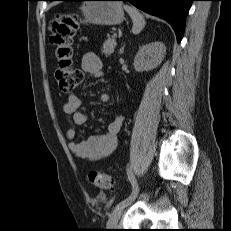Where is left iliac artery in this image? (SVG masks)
<instances>
[{"label":"left iliac artery","mask_w":231,"mask_h":231,"mask_svg":"<svg viewBox=\"0 0 231 231\" xmlns=\"http://www.w3.org/2000/svg\"><path fill=\"white\" fill-rule=\"evenodd\" d=\"M127 173H128V176H129V179H130V181H131V184H132V192H131V194L127 197V198H125L124 200H122L121 202H119L117 205H116V207L115 208H118V207H125L127 204H129L132 200H134L135 199V197L137 196V194H138V186H137V184H136V180H135V178H134V176H133V174H132V171H131V169L128 167L127 168Z\"/></svg>","instance_id":"left-iliac-artery-1"}]
</instances>
